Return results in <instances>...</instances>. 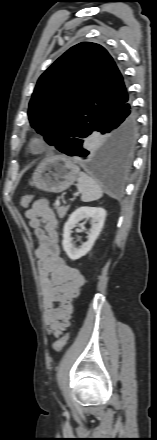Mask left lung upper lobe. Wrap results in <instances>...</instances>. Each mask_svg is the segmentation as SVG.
Listing matches in <instances>:
<instances>
[{"label":"left lung upper lobe","instance_id":"5c2ea615","mask_svg":"<svg viewBox=\"0 0 157 440\" xmlns=\"http://www.w3.org/2000/svg\"><path fill=\"white\" fill-rule=\"evenodd\" d=\"M127 96L123 77L106 49L82 42L38 79L29 103L30 125L64 153L90 135L99 119Z\"/></svg>","mask_w":157,"mask_h":440}]
</instances>
